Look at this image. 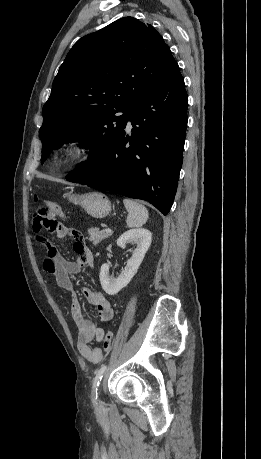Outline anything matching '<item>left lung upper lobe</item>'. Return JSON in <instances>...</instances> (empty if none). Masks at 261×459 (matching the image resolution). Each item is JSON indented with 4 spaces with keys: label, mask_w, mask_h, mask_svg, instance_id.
<instances>
[{
    "label": "left lung upper lobe",
    "mask_w": 261,
    "mask_h": 459,
    "mask_svg": "<svg viewBox=\"0 0 261 459\" xmlns=\"http://www.w3.org/2000/svg\"><path fill=\"white\" fill-rule=\"evenodd\" d=\"M175 62L161 35L133 17L79 39L43 106L41 163L56 145L78 141L89 145L90 152L75 169L95 168L123 133L136 104Z\"/></svg>",
    "instance_id": "left-lung-upper-lobe-1"
}]
</instances>
